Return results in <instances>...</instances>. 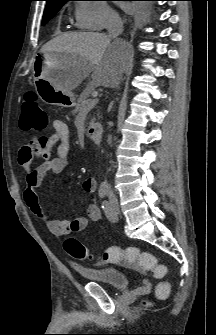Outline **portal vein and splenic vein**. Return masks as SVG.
<instances>
[{
  "mask_svg": "<svg viewBox=\"0 0 216 335\" xmlns=\"http://www.w3.org/2000/svg\"><path fill=\"white\" fill-rule=\"evenodd\" d=\"M98 102H99V98L98 97L94 98L93 100L90 101L89 108L94 107Z\"/></svg>",
  "mask_w": 216,
  "mask_h": 335,
  "instance_id": "obj_1",
  "label": "portal vein and splenic vein"
}]
</instances>
